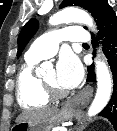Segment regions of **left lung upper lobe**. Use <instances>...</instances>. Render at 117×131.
<instances>
[{
	"label": "left lung upper lobe",
	"mask_w": 117,
	"mask_h": 131,
	"mask_svg": "<svg viewBox=\"0 0 117 131\" xmlns=\"http://www.w3.org/2000/svg\"><path fill=\"white\" fill-rule=\"evenodd\" d=\"M108 4L107 0H63L60 4V8L67 6H80L88 10L94 19L97 20L101 11ZM86 28V27H85ZM38 29V21L36 19H30L22 28L18 36V52L17 57H19L24 50L25 46L29 40L33 37Z\"/></svg>",
	"instance_id": "left-lung-upper-lobe-1"
}]
</instances>
